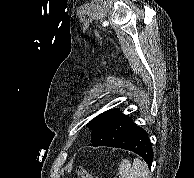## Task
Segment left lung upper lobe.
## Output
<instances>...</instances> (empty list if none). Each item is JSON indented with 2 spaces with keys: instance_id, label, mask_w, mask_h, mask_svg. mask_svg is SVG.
<instances>
[{
  "instance_id": "obj_1",
  "label": "left lung upper lobe",
  "mask_w": 194,
  "mask_h": 178,
  "mask_svg": "<svg viewBox=\"0 0 194 178\" xmlns=\"http://www.w3.org/2000/svg\"><path fill=\"white\" fill-rule=\"evenodd\" d=\"M109 111H105L101 114H99L98 116H96L94 119H92L88 124H87V127L89 128V130H93L94 127L97 125V123L99 122V120L104 117L107 113H109Z\"/></svg>"
}]
</instances>
